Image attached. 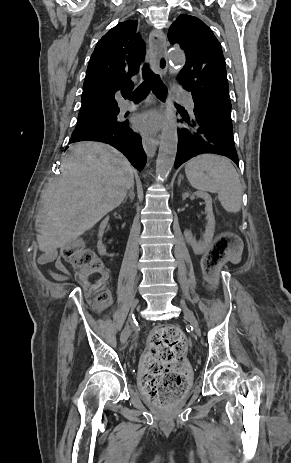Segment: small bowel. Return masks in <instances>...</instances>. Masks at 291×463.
Listing matches in <instances>:
<instances>
[{"label": "small bowel", "instance_id": "c3829d8e", "mask_svg": "<svg viewBox=\"0 0 291 463\" xmlns=\"http://www.w3.org/2000/svg\"><path fill=\"white\" fill-rule=\"evenodd\" d=\"M50 260L54 261V265L56 269L59 271V272H54V271L49 272L50 276L53 279L57 281H66L71 278V273L66 267V265L64 264L63 260L59 256H56V253L53 250L51 249L46 250L45 253L39 258L38 261L39 263L43 264Z\"/></svg>", "mask_w": 291, "mask_h": 463}]
</instances>
